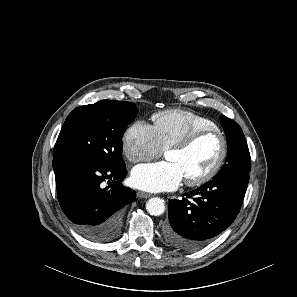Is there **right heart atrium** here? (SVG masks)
Listing matches in <instances>:
<instances>
[{
	"label": "right heart atrium",
	"instance_id": "obj_1",
	"mask_svg": "<svg viewBox=\"0 0 297 297\" xmlns=\"http://www.w3.org/2000/svg\"><path fill=\"white\" fill-rule=\"evenodd\" d=\"M122 148L132 163L150 160L162 152L154 126L138 120L129 126L123 134Z\"/></svg>",
	"mask_w": 297,
	"mask_h": 297
}]
</instances>
